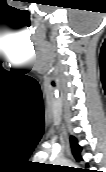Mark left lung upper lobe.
I'll return each instance as SVG.
<instances>
[{
    "label": "left lung upper lobe",
    "instance_id": "obj_1",
    "mask_svg": "<svg viewBox=\"0 0 106 172\" xmlns=\"http://www.w3.org/2000/svg\"><path fill=\"white\" fill-rule=\"evenodd\" d=\"M72 153L77 161L82 160L80 153L81 147L78 145L77 140L74 137L70 138Z\"/></svg>",
    "mask_w": 106,
    "mask_h": 172
}]
</instances>
